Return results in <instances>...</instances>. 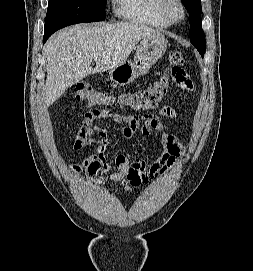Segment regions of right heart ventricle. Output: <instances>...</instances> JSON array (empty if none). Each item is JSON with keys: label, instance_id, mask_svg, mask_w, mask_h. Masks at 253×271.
<instances>
[{"label": "right heart ventricle", "instance_id": "e07e8e85", "mask_svg": "<svg viewBox=\"0 0 253 271\" xmlns=\"http://www.w3.org/2000/svg\"><path fill=\"white\" fill-rule=\"evenodd\" d=\"M117 13L124 19L152 27L166 29L170 23L160 10L161 0H114Z\"/></svg>", "mask_w": 253, "mask_h": 271}]
</instances>
